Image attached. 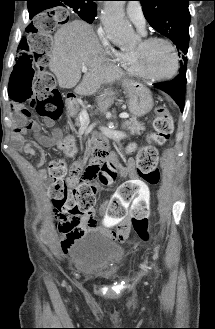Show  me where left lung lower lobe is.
I'll use <instances>...</instances> for the list:
<instances>
[{
  "mask_svg": "<svg viewBox=\"0 0 215 329\" xmlns=\"http://www.w3.org/2000/svg\"><path fill=\"white\" fill-rule=\"evenodd\" d=\"M186 66H183V70L171 81L164 83H156L154 86L163 90L167 94H169L175 102L179 105L181 111L184 107L185 100V86H186Z\"/></svg>",
  "mask_w": 215,
  "mask_h": 329,
  "instance_id": "obj_1",
  "label": "left lung lower lobe"
}]
</instances>
